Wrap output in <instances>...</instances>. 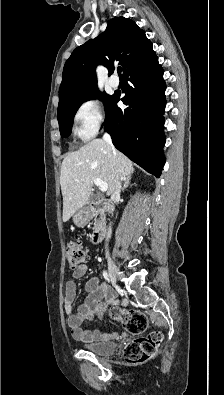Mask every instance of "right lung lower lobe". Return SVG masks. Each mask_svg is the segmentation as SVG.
<instances>
[{
	"instance_id": "98d812e1",
	"label": "right lung lower lobe",
	"mask_w": 224,
	"mask_h": 395,
	"mask_svg": "<svg viewBox=\"0 0 224 395\" xmlns=\"http://www.w3.org/2000/svg\"><path fill=\"white\" fill-rule=\"evenodd\" d=\"M127 84L121 98L128 107L117 106L120 93H115L106 109L105 131L114 146L149 173L159 177L165 158L163 145L166 89L163 69L153 49L134 62L123 74Z\"/></svg>"
}]
</instances>
